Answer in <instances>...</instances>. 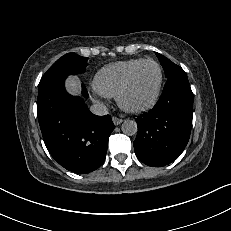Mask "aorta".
I'll return each mask as SVG.
<instances>
[{"label": "aorta", "mask_w": 231, "mask_h": 231, "mask_svg": "<svg viewBox=\"0 0 231 231\" xmlns=\"http://www.w3.org/2000/svg\"><path fill=\"white\" fill-rule=\"evenodd\" d=\"M138 131L137 123L133 120H125L122 124V132L126 135H135Z\"/></svg>", "instance_id": "1"}]
</instances>
